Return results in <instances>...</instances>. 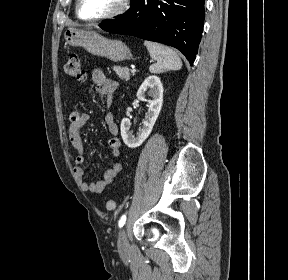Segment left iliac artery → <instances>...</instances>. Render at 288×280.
<instances>
[{"label":"left iliac artery","mask_w":288,"mask_h":280,"mask_svg":"<svg viewBox=\"0 0 288 280\" xmlns=\"http://www.w3.org/2000/svg\"><path fill=\"white\" fill-rule=\"evenodd\" d=\"M126 222V214H123L118 222L119 228L123 227Z\"/></svg>","instance_id":"1"}]
</instances>
